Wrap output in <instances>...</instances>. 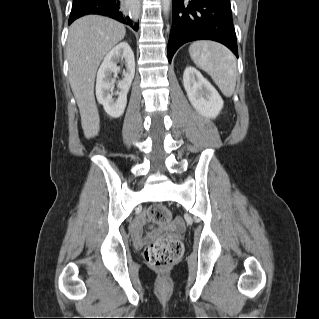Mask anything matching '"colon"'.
<instances>
[{
    "label": "colon",
    "mask_w": 319,
    "mask_h": 319,
    "mask_svg": "<svg viewBox=\"0 0 319 319\" xmlns=\"http://www.w3.org/2000/svg\"><path fill=\"white\" fill-rule=\"evenodd\" d=\"M147 216L156 222L166 223L172 218V213L166 206L157 204L148 210ZM183 251L182 239L177 235L167 234L149 244L143 255L149 266L168 268L181 258Z\"/></svg>",
    "instance_id": "5ec220e1"
}]
</instances>
